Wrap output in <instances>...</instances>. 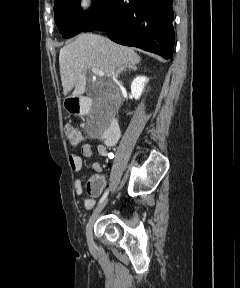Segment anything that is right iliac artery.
<instances>
[{"mask_svg":"<svg viewBox=\"0 0 240 288\" xmlns=\"http://www.w3.org/2000/svg\"><path fill=\"white\" fill-rule=\"evenodd\" d=\"M109 190L107 189L99 200L98 206L106 199Z\"/></svg>","mask_w":240,"mask_h":288,"instance_id":"82829eb1","label":"right iliac artery"}]
</instances>
